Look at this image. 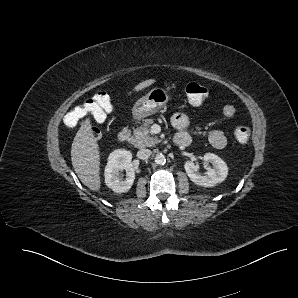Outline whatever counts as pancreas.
Listing matches in <instances>:
<instances>
[{
    "label": "pancreas",
    "instance_id": "1",
    "mask_svg": "<svg viewBox=\"0 0 298 298\" xmlns=\"http://www.w3.org/2000/svg\"><path fill=\"white\" fill-rule=\"evenodd\" d=\"M147 123H153L152 119H146L145 124L143 127H138L133 129V136H132V143L137 148H145L148 146H155L161 139L158 136L153 135L147 128Z\"/></svg>",
    "mask_w": 298,
    "mask_h": 298
}]
</instances>
